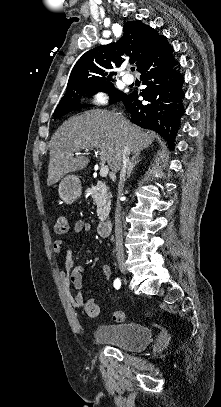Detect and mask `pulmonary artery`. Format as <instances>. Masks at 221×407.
<instances>
[{"label":"pulmonary artery","mask_w":221,"mask_h":407,"mask_svg":"<svg viewBox=\"0 0 221 407\" xmlns=\"http://www.w3.org/2000/svg\"><path fill=\"white\" fill-rule=\"evenodd\" d=\"M123 81L126 84H131L133 82V77L130 74H126L123 76Z\"/></svg>","instance_id":"e3ab8cb5"}]
</instances>
